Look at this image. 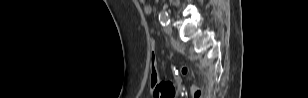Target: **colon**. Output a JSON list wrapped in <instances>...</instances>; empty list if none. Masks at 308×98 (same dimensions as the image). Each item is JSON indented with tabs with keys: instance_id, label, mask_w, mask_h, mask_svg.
<instances>
[{
	"instance_id": "5ec220e1",
	"label": "colon",
	"mask_w": 308,
	"mask_h": 98,
	"mask_svg": "<svg viewBox=\"0 0 308 98\" xmlns=\"http://www.w3.org/2000/svg\"><path fill=\"white\" fill-rule=\"evenodd\" d=\"M182 74L188 75V68H182ZM151 91L155 98H172L175 95V87L168 79L161 80L158 73V61L156 51L152 50L151 55ZM193 98H202L203 92L197 86L191 88Z\"/></svg>"
}]
</instances>
